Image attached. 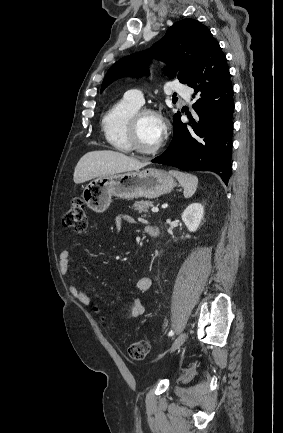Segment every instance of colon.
<instances>
[{"mask_svg": "<svg viewBox=\"0 0 283 433\" xmlns=\"http://www.w3.org/2000/svg\"><path fill=\"white\" fill-rule=\"evenodd\" d=\"M63 224L76 233L85 232L88 224L86 209L80 198L71 201L68 211L64 215ZM150 350V343L146 339H141L131 343L127 348V355L133 360H143Z\"/></svg>", "mask_w": 283, "mask_h": 433, "instance_id": "5ec220e1", "label": "colon"}]
</instances>
